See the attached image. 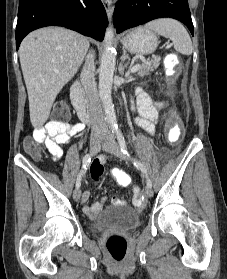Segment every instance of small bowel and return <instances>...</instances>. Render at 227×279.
Masks as SVG:
<instances>
[{"label": "small bowel", "instance_id": "small-bowel-1", "mask_svg": "<svg viewBox=\"0 0 227 279\" xmlns=\"http://www.w3.org/2000/svg\"><path fill=\"white\" fill-rule=\"evenodd\" d=\"M167 106L165 101H154L148 94L142 90H138L137 93V105L136 109L138 111L139 117L136 119L137 123L149 133H153L155 129V123L158 120L159 110ZM83 126L79 123H67L65 127H58L56 124H47L42 128L37 129L32 137H29L27 141H37L43 143L47 151L50 153L52 159L56 160L60 158L63 154L62 146L69 143L70 139L77 132L81 131ZM104 159H99L102 162ZM116 169L111 172L114 173ZM103 171L98 174H92V182L97 184L100 175ZM89 199V192L85 191L82 194V201L86 202ZM105 202L102 199L100 202L85 205L83 207V212L86 215H91L99 211ZM116 203V201H114Z\"/></svg>", "mask_w": 227, "mask_h": 279}]
</instances>
